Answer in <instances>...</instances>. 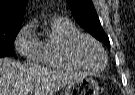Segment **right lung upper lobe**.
I'll return each instance as SVG.
<instances>
[{"label": "right lung upper lobe", "mask_w": 135, "mask_h": 95, "mask_svg": "<svg viewBox=\"0 0 135 95\" xmlns=\"http://www.w3.org/2000/svg\"><path fill=\"white\" fill-rule=\"evenodd\" d=\"M27 0H0V35L19 31Z\"/></svg>", "instance_id": "1"}]
</instances>
